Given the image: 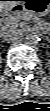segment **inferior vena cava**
<instances>
[{
  "mask_svg": "<svg viewBox=\"0 0 50 111\" xmlns=\"http://www.w3.org/2000/svg\"><path fill=\"white\" fill-rule=\"evenodd\" d=\"M20 35L19 30H8L2 34L3 39L7 42L17 39Z\"/></svg>",
  "mask_w": 50,
  "mask_h": 111,
  "instance_id": "1",
  "label": "inferior vena cava"
}]
</instances>
